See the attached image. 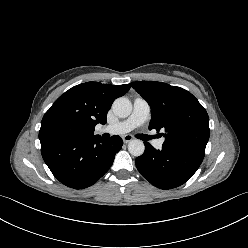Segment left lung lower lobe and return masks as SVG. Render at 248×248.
I'll list each match as a JSON object with an SVG mask.
<instances>
[{"instance_id": "obj_1", "label": "left lung lower lobe", "mask_w": 248, "mask_h": 248, "mask_svg": "<svg viewBox=\"0 0 248 248\" xmlns=\"http://www.w3.org/2000/svg\"><path fill=\"white\" fill-rule=\"evenodd\" d=\"M144 144L145 152L136 158V167L152 185L161 189L184 184L197 171L204 158L200 152L164 146L156 150L150 143Z\"/></svg>"}]
</instances>
